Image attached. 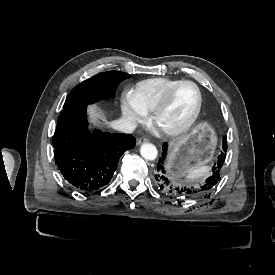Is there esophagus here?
I'll list each match as a JSON object with an SVG mask.
<instances>
[{"label":"esophagus","mask_w":275,"mask_h":275,"mask_svg":"<svg viewBox=\"0 0 275 275\" xmlns=\"http://www.w3.org/2000/svg\"><path fill=\"white\" fill-rule=\"evenodd\" d=\"M148 141H149L148 138L142 137V138H140V139L138 140L137 144L139 145V144H142V143H146V142H148Z\"/></svg>","instance_id":"obj_1"}]
</instances>
